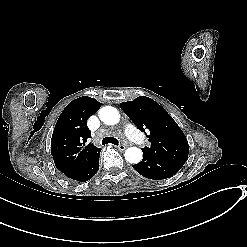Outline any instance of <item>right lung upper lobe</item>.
I'll list each match as a JSON object with an SVG mask.
<instances>
[{"instance_id": "right-lung-upper-lobe-1", "label": "right lung upper lobe", "mask_w": 247, "mask_h": 247, "mask_svg": "<svg viewBox=\"0 0 247 247\" xmlns=\"http://www.w3.org/2000/svg\"><path fill=\"white\" fill-rule=\"evenodd\" d=\"M101 106V103L87 96L71 101L60 114L51 139V155L56 168L70 176L101 151L93 144H85L91 131L87 119Z\"/></svg>"}]
</instances>
